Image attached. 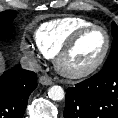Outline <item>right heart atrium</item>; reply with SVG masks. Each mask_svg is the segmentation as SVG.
Returning <instances> with one entry per match:
<instances>
[{
	"instance_id": "obj_1",
	"label": "right heart atrium",
	"mask_w": 118,
	"mask_h": 118,
	"mask_svg": "<svg viewBox=\"0 0 118 118\" xmlns=\"http://www.w3.org/2000/svg\"><path fill=\"white\" fill-rule=\"evenodd\" d=\"M24 51L28 54H31V55L34 54V51L29 47H24Z\"/></svg>"
}]
</instances>
